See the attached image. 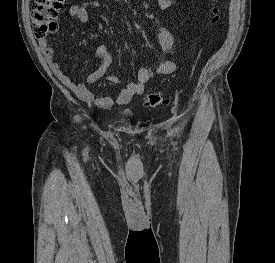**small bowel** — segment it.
<instances>
[{"label": "small bowel", "instance_id": "obj_1", "mask_svg": "<svg viewBox=\"0 0 275 263\" xmlns=\"http://www.w3.org/2000/svg\"><path fill=\"white\" fill-rule=\"evenodd\" d=\"M174 4V0H158V5L162 10L169 8ZM100 7L101 2L99 0H86L82 3L71 5L68 8V14L71 17L76 18L80 23L86 24L90 18L89 9ZM150 26L158 37L162 51L164 53H170L175 43L173 35L157 19H152L150 21ZM39 47L50 69L63 85L71 89L80 99L93 102L96 106L102 109L111 108L115 104H128L133 96L142 95L146 84L156 76L171 75L177 69V65L173 60L165 59L154 69L147 67L141 68L138 71V80L136 82L126 83L116 99L111 97H95L93 92L86 85L76 84L71 80L61 65L55 61L53 49L48 45L46 39L39 42ZM96 54L101 60V65L96 71L87 76L86 82L93 84L105 80L110 84H121L122 81L119 77L114 75L105 76L106 72L113 64V57L108 47L105 44L98 45L96 48Z\"/></svg>", "mask_w": 275, "mask_h": 263}]
</instances>
